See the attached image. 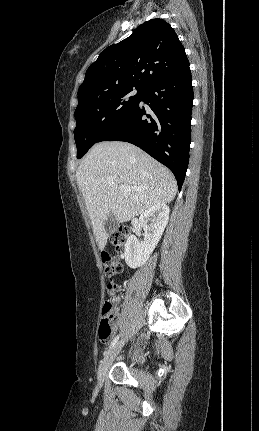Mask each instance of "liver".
<instances>
[{"label": "liver", "mask_w": 259, "mask_h": 431, "mask_svg": "<svg viewBox=\"0 0 259 431\" xmlns=\"http://www.w3.org/2000/svg\"><path fill=\"white\" fill-rule=\"evenodd\" d=\"M76 178L100 250L107 244L104 222L109 215L118 223L127 222L153 205L170 203L177 192L169 169L139 147L121 141L94 145L81 161ZM121 185L131 190L122 193Z\"/></svg>", "instance_id": "liver-1"}]
</instances>
